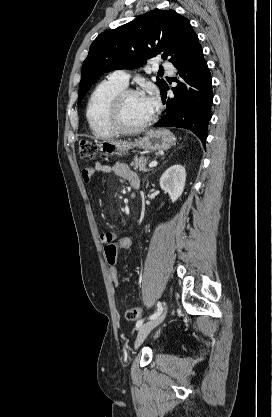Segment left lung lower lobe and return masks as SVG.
Returning a JSON list of instances; mask_svg holds the SVG:
<instances>
[{
	"label": "left lung lower lobe",
	"instance_id": "obj_1",
	"mask_svg": "<svg viewBox=\"0 0 272 417\" xmlns=\"http://www.w3.org/2000/svg\"><path fill=\"white\" fill-rule=\"evenodd\" d=\"M179 76L186 81L172 88L173 98L166 99L168 85L161 92L166 103L164 116L155 127H179L191 130L205 146L207 127L211 119L213 102L212 81L202 47H198L174 65Z\"/></svg>",
	"mask_w": 272,
	"mask_h": 417
}]
</instances>
